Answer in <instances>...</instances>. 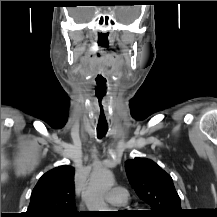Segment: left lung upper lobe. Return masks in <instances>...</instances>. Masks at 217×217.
Returning a JSON list of instances; mask_svg holds the SVG:
<instances>
[{
    "mask_svg": "<svg viewBox=\"0 0 217 217\" xmlns=\"http://www.w3.org/2000/svg\"><path fill=\"white\" fill-rule=\"evenodd\" d=\"M125 169L137 195L153 208L151 217H182L173 180L161 167L150 159L134 158L126 161Z\"/></svg>",
    "mask_w": 217,
    "mask_h": 217,
    "instance_id": "obj_1",
    "label": "left lung upper lobe"
}]
</instances>
